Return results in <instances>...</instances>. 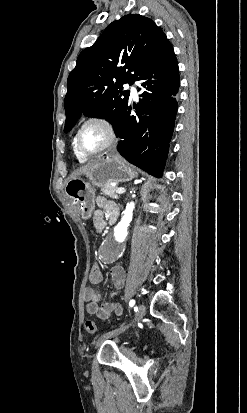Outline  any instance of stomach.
<instances>
[{"label":"stomach","mask_w":247,"mask_h":413,"mask_svg":"<svg viewBox=\"0 0 247 413\" xmlns=\"http://www.w3.org/2000/svg\"><path fill=\"white\" fill-rule=\"evenodd\" d=\"M135 176V168L123 162L120 156H104L78 178H70L66 182L65 194L77 202L82 219H90L95 209V186L125 182Z\"/></svg>","instance_id":"stomach-1"}]
</instances>
